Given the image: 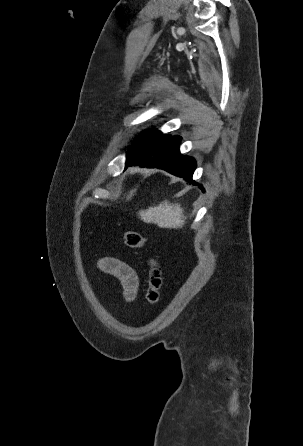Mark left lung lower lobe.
Wrapping results in <instances>:
<instances>
[{
	"label": "left lung lower lobe",
	"mask_w": 303,
	"mask_h": 446,
	"mask_svg": "<svg viewBox=\"0 0 303 446\" xmlns=\"http://www.w3.org/2000/svg\"><path fill=\"white\" fill-rule=\"evenodd\" d=\"M181 139L180 136H169L162 139L141 154L128 159L125 169L135 165L148 168L157 167L197 185L192 180V175L196 168V161L192 157L180 154L179 145Z\"/></svg>",
	"instance_id": "0a47b994"
}]
</instances>
